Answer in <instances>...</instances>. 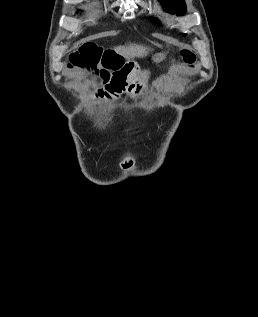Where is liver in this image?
Wrapping results in <instances>:
<instances>
[{"label": "liver", "instance_id": "liver-1", "mask_svg": "<svg viewBox=\"0 0 258 317\" xmlns=\"http://www.w3.org/2000/svg\"><path fill=\"white\" fill-rule=\"evenodd\" d=\"M117 54H121L127 60L134 58V56H146L149 52L147 46H141V44H127V46H115Z\"/></svg>", "mask_w": 258, "mask_h": 317}]
</instances>
